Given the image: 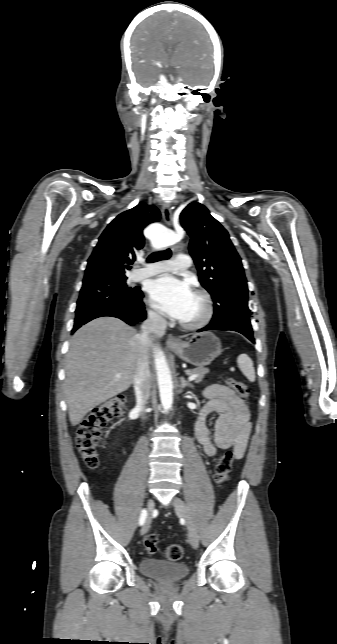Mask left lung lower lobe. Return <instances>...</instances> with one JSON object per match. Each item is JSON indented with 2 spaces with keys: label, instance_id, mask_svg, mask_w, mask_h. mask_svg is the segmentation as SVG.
Returning a JSON list of instances; mask_svg holds the SVG:
<instances>
[{
  "label": "left lung lower lobe",
  "instance_id": "0a47b994",
  "mask_svg": "<svg viewBox=\"0 0 337 644\" xmlns=\"http://www.w3.org/2000/svg\"><path fill=\"white\" fill-rule=\"evenodd\" d=\"M207 330H231V331H236V332H239V333L243 334V335H244V336H246L250 341H252L253 343H255V339H254V337H253V332H251V331H245V330H243V329H241V328H239V327H236V326H234V325H231V324L211 322V323H210L209 325H207L206 327H204V328H202V329L198 330V332L207 331Z\"/></svg>",
  "mask_w": 337,
  "mask_h": 644
}]
</instances>
